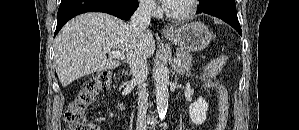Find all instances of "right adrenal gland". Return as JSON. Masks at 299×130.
<instances>
[{"instance_id": "1", "label": "right adrenal gland", "mask_w": 299, "mask_h": 130, "mask_svg": "<svg viewBox=\"0 0 299 130\" xmlns=\"http://www.w3.org/2000/svg\"><path fill=\"white\" fill-rule=\"evenodd\" d=\"M125 74L130 75V73H128V72H125Z\"/></svg>"}]
</instances>
